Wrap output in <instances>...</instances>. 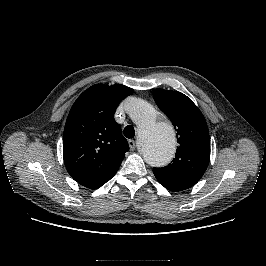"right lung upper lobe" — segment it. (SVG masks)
Returning a JSON list of instances; mask_svg holds the SVG:
<instances>
[{
    "label": "right lung upper lobe",
    "instance_id": "right-lung-upper-lobe-1",
    "mask_svg": "<svg viewBox=\"0 0 266 266\" xmlns=\"http://www.w3.org/2000/svg\"><path fill=\"white\" fill-rule=\"evenodd\" d=\"M133 89L121 85H93L74 102L63 133V157L71 177L90 189L109 181L129 150L114 113Z\"/></svg>",
    "mask_w": 266,
    "mask_h": 266
}]
</instances>
